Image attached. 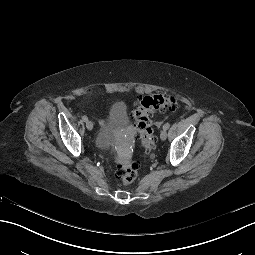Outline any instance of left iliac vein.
Returning <instances> with one entry per match:
<instances>
[{
    "mask_svg": "<svg viewBox=\"0 0 255 255\" xmlns=\"http://www.w3.org/2000/svg\"><path fill=\"white\" fill-rule=\"evenodd\" d=\"M160 138H161V140H166V138H167V132H166V130L165 129H163L162 131H161V133H160Z\"/></svg>",
    "mask_w": 255,
    "mask_h": 255,
    "instance_id": "left-iliac-vein-1",
    "label": "left iliac vein"
}]
</instances>
